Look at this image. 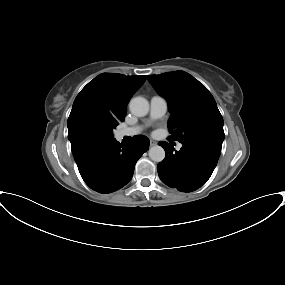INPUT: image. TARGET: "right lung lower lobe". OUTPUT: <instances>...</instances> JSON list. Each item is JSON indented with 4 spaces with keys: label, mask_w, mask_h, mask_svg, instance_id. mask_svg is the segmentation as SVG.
<instances>
[{
    "label": "right lung lower lobe",
    "mask_w": 285,
    "mask_h": 285,
    "mask_svg": "<svg viewBox=\"0 0 285 285\" xmlns=\"http://www.w3.org/2000/svg\"><path fill=\"white\" fill-rule=\"evenodd\" d=\"M148 148L149 140L137 135L125 146L114 139L86 144L72 153L85 183L99 193H111L131 180L137 160Z\"/></svg>",
    "instance_id": "1"
}]
</instances>
